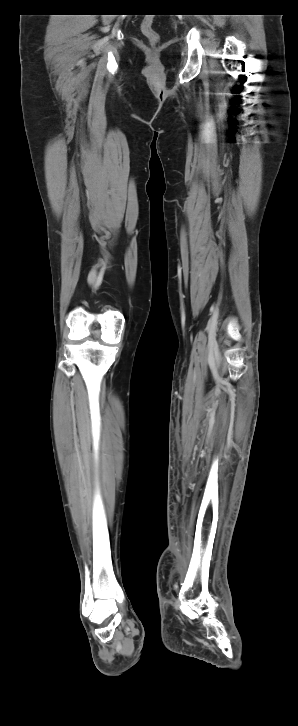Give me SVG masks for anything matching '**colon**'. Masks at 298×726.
<instances>
[{
    "label": "colon",
    "instance_id": "5ec220e1",
    "mask_svg": "<svg viewBox=\"0 0 298 726\" xmlns=\"http://www.w3.org/2000/svg\"><path fill=\"white\" fill-rule=\"evenodd\" d=\"M141 31L143 35L152 43L158 41L159 35L153 28L152 18H145L141 24Z\"/></svg>",
    "mask_w": 298,
    "mask_h": 726
}]
</instances>
